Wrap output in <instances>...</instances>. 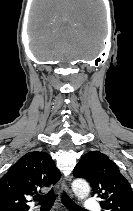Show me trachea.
<instances>
[{"instance_id":"1","label":"trachea","mask_w":133,"mask_h":211,"mask_svg":"<svg viewBox=\"0 0 133 211\" xmlns=\"http://www.w3.org/2000/svg\"><path fill=\"white\" fill-rule=\"evenodd\" d=\"M34 200L41 203V209H50L53 206L55 201V193L53 190H50L46 195H36ZM64 205L70 211H86L82 207L78 206L67 194H63L62 197Z\"/></svg>"}]
</instances>
